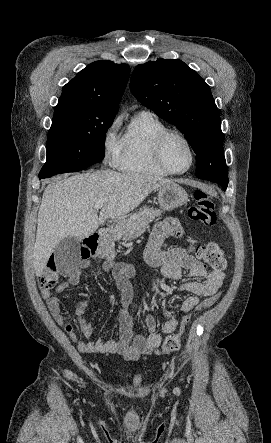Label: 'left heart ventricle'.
<instances>
[{
  "label": "left heart ventricle",
  "mask_w": 271,
  "mask_h": 443,
  "mask_svg": "<svg viewBox=\"0 0 271 443\" xmlns=\"http://www.w3.org/2000/svg\"><path fill=\"white\" fill-rule=\"evenodd\" d=\"M163 154L168 165L175 170H184L191 163L187 144L178 136H171L164 144Z\"/></svg>",
  "instance_id": "left-heart-ventricle-1"
}]
</instances>
